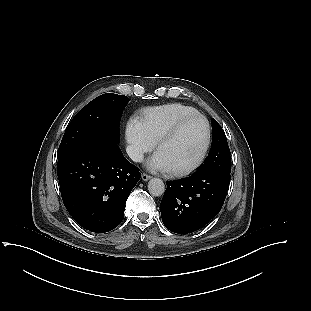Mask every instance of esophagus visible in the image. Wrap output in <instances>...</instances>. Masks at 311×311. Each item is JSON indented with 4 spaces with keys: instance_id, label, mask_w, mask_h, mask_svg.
I'll list each match as a JSON object with an SVG mask.
<instances>
[{
    "instance_id": "esophagus-1",
    "label": "esophagus",
    "mask_w": 311,
    "mask_h": 311,
    "mask_svg": "<svg viewBox=\"0 0 311 311\" xmlns=\"http://www.w3.org/2000/svg\"><path fill=\"white\" fill-rule=\"evenodd\" d=\"M141 178H142L143 181H148L151 178V176L148 175V174L143 173Z\"/></svg>"
}]
</instances>
